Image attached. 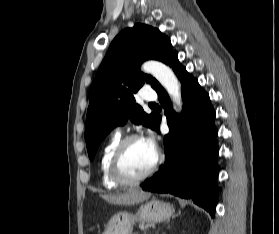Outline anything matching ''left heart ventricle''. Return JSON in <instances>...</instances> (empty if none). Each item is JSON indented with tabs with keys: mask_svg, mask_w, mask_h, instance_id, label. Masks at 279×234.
<instances>
[{
	"mask_svg": "<svg viewBox=\"0 0 279 234\" xmlns=\"http://www.w3.org/2000/svg\"><path fill=\"white\" fill-rule=\"evenodd\" d=\"M156 158L154 151L145 140L131 142L126 148L122 161V171L128 177H136L148 170Z\"/></svg>",
	"mask_w": 279,
	"mask_h": 234,
	"instance_id": "b2bd125f",
	"label": "left heart ventricle"
}]
</instances>
